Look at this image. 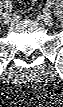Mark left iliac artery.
<instances>
[{
	"label": "left iliac artery",
	"mask_w": 63,
	"mask_h": 107,
	"mask_svg": "<svg viewBox=\"0 0 63 107\" xmlns=\"http://www.w3.org/2000/svg\"><path fill=\"white\" fill-rule=\"evenodd\" d=\"M52 4H53V3H52L51 1H47V6H48V7H51Z\"/></svg>",
	"instance_id": "1"
}]
</instances>
